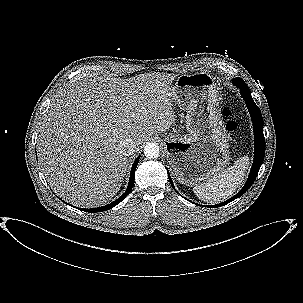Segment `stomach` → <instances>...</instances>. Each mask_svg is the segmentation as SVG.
<instances>
[{
    "label": "stomach",
    "instance_id": "0dacf381",
    "mask_svg": "<svg viewBox=\"0 0 303 303\" xmlns=\"http://www.w3.org/2000/svg\"><path fill=\"white\" fill-rule=\"evenodd\" d=\"M172 94L175 104L187 113L188 134L167 136L165 150L175 178L193 186L220 173L229 161L220 94L214 78L206 72L180 75Z\"/></svg>",
    "mask_w": 303,
    "mask_h": 303
}]
</instances>
